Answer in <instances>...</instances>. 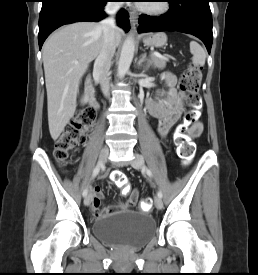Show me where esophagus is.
Returning <instances> with one entry per match:
<instances>
[{
  "label": "esophagus",
  "mask_w": 258,
  "mask_h": 275,
  "mask_svg": "<svg viewBox=\"0 0 258 275\" xmlns=\"http://www.w3.org/2000/svg\"><path fill=\"white\" fill-rule=\"evenodd\" d=\"M130 24L134 30L138 28V13L135 10L130 11Z\"/></svg>",
  "instance_id": "obj_1"
}]
</instances>
